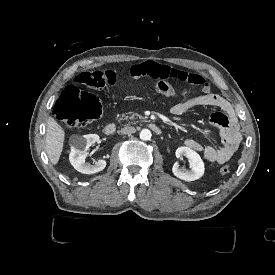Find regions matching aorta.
<instances>
[{"instance_id":"obj_1","label":"aorta","mask_w":275,"mask_h":275,"mask_svg":"<svg viewBox=\"0 0 275 275\" xmlns=\"http://www.w3.org/2000/svg\"><path fill=\"white\" fill-rule=\"evenodd\" d=\"M139 136L141 140L148 141L151 138V132L148 129H143L141 130Z\"/></svg>"}]
</instances>
